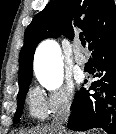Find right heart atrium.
<instances>
[{
	"instance_id": "obj_1",
	"label": "right heart atrium",
	"mask_w": 116,
	"mask_h": 134,
	"mask_svg": "<svg viewBox=\"0 0 116 134\" xmlns=\"http://www.w3.org/2000/svg\"><path fill=\"white\" fill-rule=\"evenodd\" d=\"M34 92L41 99L46 115L54 116L67 112L73 104L74 89L71 84L59 86L48 93L40 90Z\"/></svg>"
}]
</instances>
